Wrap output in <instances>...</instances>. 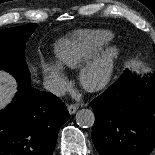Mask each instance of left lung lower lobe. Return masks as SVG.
<instances>
[{
	"mask_svg": "<svg viewBox=\"0 0 155 155\" xmlns=\"http://www.w3.org/2000/svg\"><path fill=\"white\" fill-rule=\"evenodd\" d=\"M92 140L101 155H149L155 148V72L125 71L90 102Z\"/></svg>",
	"mask_w": 155,
	"mask_h": 155,
	"instance_id": "obj_1",
	"label": "left lung lower lobe"
}]
</instances>
